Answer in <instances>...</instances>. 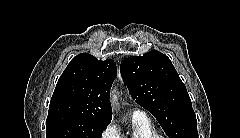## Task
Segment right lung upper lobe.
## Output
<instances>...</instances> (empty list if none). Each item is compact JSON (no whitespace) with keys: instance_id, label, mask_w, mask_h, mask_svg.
Masks as SVG:
<instances>
[{"instance_id":"cb5924a9","label":"right lung upper lobe","mask_w":240,"mask_h":138,"mask_svg":"<svg viewBox=\"0 0 240 138\" xmlns=\"http://www.w3.org/2000/svg\"><path fill=\"white\" fill-rule=\"evenodd\" d=\"M117 69L113 60H98L88 53L75 56L52 95L48 117L71 115L110 123L109 94Z\"/></svg>"}]
</instances>
